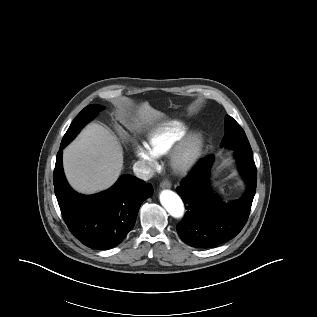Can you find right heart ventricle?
Masks as SVG:
<instances>
[{
  "instance_id": "1",
  "label": "right heart ventricle",
  "mask_w": 317,
  "mask_h": 317,
  "mask_svg": "<svg viewBox=\"0 0 317 317\" xmlns=\"http://www.w3.org/2000/svg\"><path fill=\"white\" fill-rule=\"evenodd\" d=\"M186 128L177 122H170L148 135V147L157 156L169 153L185 136Z\"/></svg>"
}]
</instances>
